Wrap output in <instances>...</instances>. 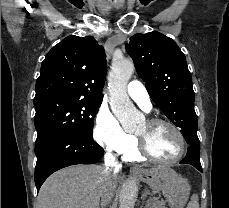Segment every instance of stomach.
<instances>
[{"instance_id":"0dacf381","label":"stomach","mask_w":229,"mask_h":208,"mask_svg":"<svg viewBox=\"0 0 229 208\" xmlns=\"http://www.w3.org/2000/svg\"><path fill=\"white\" fill-rule=\"evenodd\" d=\"M140 182L148 184L152 190L163 192L170 208H184L188 202L190 186L185 178H180L174 170H141L137 174Z\"/></svg>"}]
</instances>
